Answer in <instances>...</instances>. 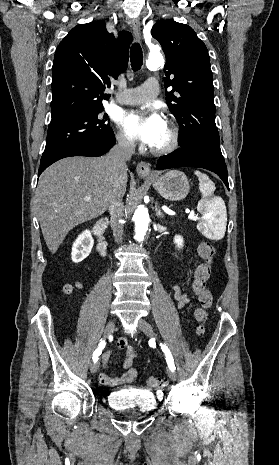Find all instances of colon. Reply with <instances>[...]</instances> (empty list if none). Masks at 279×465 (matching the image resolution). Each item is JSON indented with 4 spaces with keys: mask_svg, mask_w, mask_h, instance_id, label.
<instances>
[{
    "mask_svg": "<svg viewBox=\"0 0 279 465\" xmlns=\"http://www.w3.org/2000/svg\"><path fill=\"white\" fill-rule=\"evenodd\" d=\"M197 251L201 262L195 269L192 288L199 301V308L195 312L196 320L199 323L197 332L203 334L205 330L204 322L208 317L207 310L211 307L213 301L212 294L207 288V282L211 276L215 248L212 243L204 241L199 244ZM72 290L73 287L70 285L65 287L66 292H71ZM146 384L148 387L155 389L163 385V380L157 376H150L146 379Z\"/></svg>",
    "mask_w": 279,
    "mask_h": 465,
    "instance_id": "obj_1",
    "label": "colon"
}]
</instances>
